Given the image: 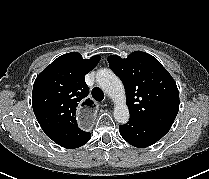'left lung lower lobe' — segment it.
Returning <instances> with one entry per match:
<instances>
[{
	"label": "left lung lower lobe",
	"instance_id": "obj_1",
	"mask_svg": "<svg viewBox=\"0 0 209 179\" xmlns=\"http://www.w3.org/2000/svg\"><path fill=\"white\" fill-rule=\"evenodd\" d=\"M119 131L129 144L134 147L145 148L160 140L169 129L130 117L128 123L119 126Z\"/></svg>",
	"mask_w": 209,
	"mask_h": 179
}]
</instances>
